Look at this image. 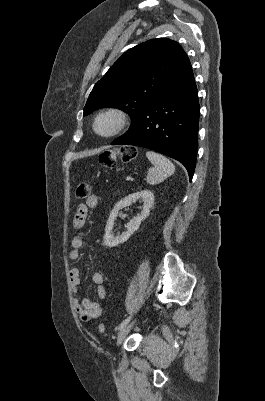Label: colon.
Instances as JSON below:
<instances>
[{"instance_id": "1", "label": "colon", "mask_w": 265, "mask_h": 401, "mask_svg": "<svg viewBox=\"0 0 265 401\" xmlns=\"http://www.w3.org/2000/svg\"><path fill=\"white\" fill-rule=\"evenodd\" d=\"M137 156V150L133 147L124 146L117 149L106 150L99 156L100 164L105 167L112 169L119 161L129 162L135 159ZM91 185L88 182H81L76 189V198L79 200L88 199L91 196ZM99 331L105 332L106 328L103 324L99 325Z\"/></svg>"}]
</instances>
